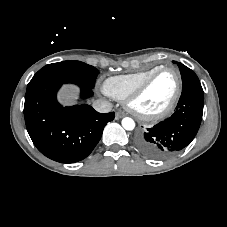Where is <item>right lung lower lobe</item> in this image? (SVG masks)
Returning a JSON list of instances; mask_svg holds the SVG:
<instances>
[{
    "label": "right lung lower lobe",
    "mask_w": 227,
    "mask_h": 227,
    "mask_svg": "<svg viewBox=\"0 0 227 227\" xmlns=\"http://www.w3.org/2000/svg\"><path fill=\"white\" fill-rule=\"evenodd\" d=\"M65 83L81 88V97L93 95L91 88L59 77H47L27 86L24 117L27 131L36 148L46 157L61 163L86 158L99 142L105 125L114 112L102 114L87 104L62 107L56 93Z\"/></svg>",
    "instance_id": "right-lung-lower-lobe-1"
}]
</instances>
